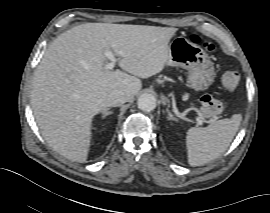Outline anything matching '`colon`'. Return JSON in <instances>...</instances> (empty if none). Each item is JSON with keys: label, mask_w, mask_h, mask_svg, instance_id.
<instances>
[{"label": "colon", "mask_w": 270, "mask_h": 213, "mask_svg": "<svg viewBox=\"0 0 270 213\" xmlns=\"http://www.w3.org/2000/svg\"><path fill=\"white\" fill-rule=\"evenodd\" d=\"M190 41L193 44H198L200 42V37L198 34H192L190 36ZM207 50H214L215 45L208 42L206 43ZM221 84L224 89L228 91L234 90L239 84V72L237 70H230L226 72L221 78ZM224 104L212 95H204L201 98V113L203 116L212 118L220 115L224 111Z\"/></svg>", "instance_id": "colon-1"}]
</instances>
